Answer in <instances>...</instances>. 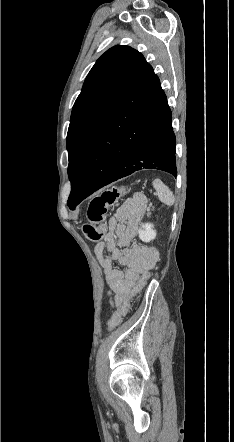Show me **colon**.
<instances>
[{
	"instance_id": "5ec220e1",
	"label": "colon",
	"mask_w": 234,
	"mask_h": 442,
	"mask_svg": "<svg viewBox=\"0 0 234 442\" xmlns=\"http://www.w3.org/2000/svg\"><path fill=\"white\" fill-rule=\"evenodd\" d=\"M124 190L125 189L123 187L107 189L91 200L87 211V216L90 223L83 226V232L89 240L99 241L105 236L107 232L105 220L108 208L118 201V199L124 193ZM149 276V272L143 274L138 284L133 288L130 297L126 300L121 309L112 316L108 323L109 331L114 330L121 323L123 317L129 309L131 298L139 290H141Z\"/></svg>"
}]
</instances>
